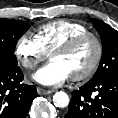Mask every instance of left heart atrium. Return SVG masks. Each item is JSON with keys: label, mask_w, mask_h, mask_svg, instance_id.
I'll return each instance as SVG.
<instances>
[{"label": "left heart atrium", "mask_w": 118, "mask_h": 118, "mask_svg": "<svg viewBox=\"0 0 118 118\" xmlns=\"http://www.w3.org/2000/svg\"><path fill=\"white\" fill-rule=\"evenodd\" d=\"M69 77L70 75L66 68L58 62H51L45 65L33 75L35 81L45 86H58Z\"/></svg>", "instance_id": "1"}]
</instances>
